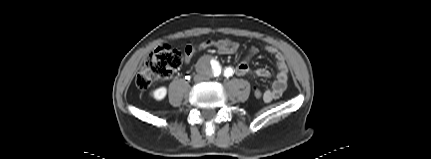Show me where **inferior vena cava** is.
Wrapping results in <instances>:
<instances>
[{"mask_svg":"<svg viewBox=\"0 0 431 159\" xmlns=\"http://www.w3.org/2000/svg\"><path fill=\"white\" fill-rule=\"evenodd\" d=\"M204 79H205V77H204V76H202V75H199V74L195 75V77H194V81H195V82H201V81H203Z\"/></svg>","mask_w":431,"mask_h":159,"instance_id":"602c4592","label":"inferior vena cava"}]
</instances>
